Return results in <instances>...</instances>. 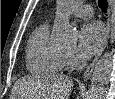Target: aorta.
<instances>
[{"label": "aorta", "instance_id": "762f6f07", "mask_svg": "<svg viewBox=\"0 0 115 99\" xmlns=\"http://www.w3.org/2000/svg\"><path fill=\"white\" fill-rule=\"evenodd\" d=\"M79 2L75 0H58V8L61 15H63V19L56 21L54 24L52 37L62 47L73 45L77 40L76 30L69 24L67 19H64V15ZM111 69L112 54L105 53L94 68L88 99H105Z\"/></svg>", "mask_w": 115, "mask_h": 99}]
</instances>
